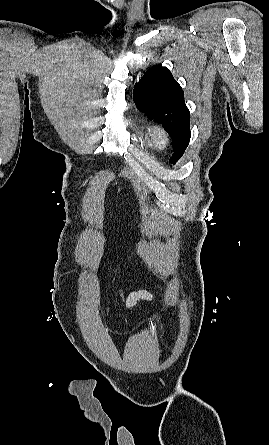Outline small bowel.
<instances>
[{"mask_svg": "<svg viewBox=\"0 0 269 445\" xmlns=\"http://www.w3.org/2000/svg\"><path fill=\"white\" fill-rule=\"evenodd\" d=\"M118 293L120 298V312L123 310L132 311L140 301L151 302L154 300L153 293L147 289H139L128 294H126L123 289H120Z\"/></svg>", "mask_w": 269, "mask_h": 445, "instance_id": "1", "label": "small bowel"}]
</instances>
